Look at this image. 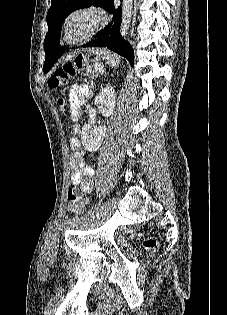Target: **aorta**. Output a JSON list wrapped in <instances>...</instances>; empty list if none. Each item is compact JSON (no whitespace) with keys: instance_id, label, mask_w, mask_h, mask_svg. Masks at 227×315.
<instances>
[{"instance_id":"762f6f07","label":"aorta","mask_w":227,"mask_h":315,"mask_svg":"<svg viewBox=\"0 0 227 315\" xmlns=\"http://www.w3.org/2000/svg\"><path fill=\"white\" fill-rule=\"evenodd\" d=\"M133 2L134 0L122 1V17L120 25V35L125 39L128 36L130 24L133 15Z\"/></svg>"}]
</instances>
